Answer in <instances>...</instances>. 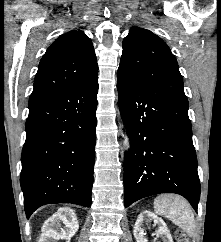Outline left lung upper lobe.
I'll return each instance as SVG.
<instances>
[{"label":"left lung upper lobe","mask_w":221,"mask_h":242,"mask_svg":"<svg viewBox=\"0 0 221 242\" xmlns=\"http://www.w3.org/2000/svg\"><path fill=\"white\" fill-rule=\"evenodd\" d=\"M118 69L144 88L188 104L175 56L166 43L151 31L139 27L130 29L123 40Z\"/></svg>","instance_id":"5c2ea615"}]
</instances>
